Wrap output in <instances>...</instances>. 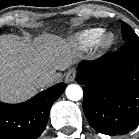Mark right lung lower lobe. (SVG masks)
<instances>
[{
  "instance_id": "right-lung-lower-lobe-1",
  "label": "right lung lower lobe",
  "mask_w": 139,
  "mask_h": 139,
  "mask_svg": "<svg viewBox=\"0 0 139 139\" xmlns=\"http://www.w3.org/2000/svg\"><path fill=\"white\" fill-rule=\"evenodd\" d=\"M66 88L58 83L19 104L0 102V139H36L44 131L52 104Z\"/></svg>"
}]
</instances>
